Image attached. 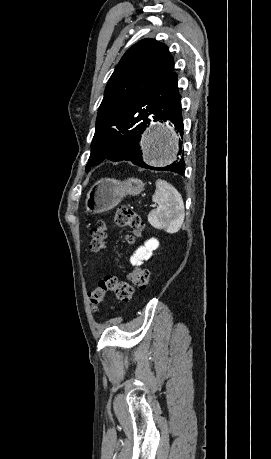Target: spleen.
I'll use <instances>...</instances> for the list:
<instances>
[{"instance_id":"3e777b00","label":"spleen","mask_w":271,"mask_h":459,"mask_svg":"<svg viewBox=\"0 0 271 459\" xmlns=\"http://www.w3.org/2000/svg\"><path fill=\"white\" fill-rule=\"evenodd\" d=\"M155 184L156 192L152 200L158 204V208L153 210L148 220L154 228L176 233L181 228L185 216L181 194L165 180H156Z\"/></svg>"}]
</instances>
